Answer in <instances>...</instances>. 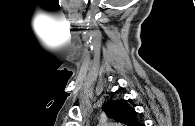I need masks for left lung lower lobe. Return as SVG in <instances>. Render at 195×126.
Instances as JSON below:
<instances>
[{
	"instance_id": "0a47b994",
	"label": "left lung lower lobe",
	"mask_w": 195,
	"mask_h": 126,
	"mask_svg": "<svg viewBox=\"0 0 195 126\" xmlns=\"http://www.w3.org/2000/svg\"><path fill=\"white\" fill-rule=\"evenodd\" d=\"M138 126H145V125L140 123Z\"/></svg>"
}]
</instances>
